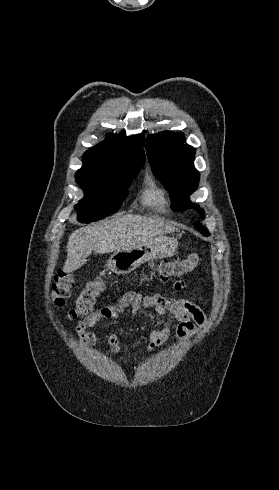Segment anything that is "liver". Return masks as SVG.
Segmentation results:
<instances>
[{
	"label": "liver",
	"mask_w": 279,
	"mask_h": 490,
	"mask_svg": "<svg viewBox=\"0 0 279 490\" xmlns=\"http://www.w3.org/2000/svg\"><path fill=\"white\" fill-rule=\"evenodd\" d=\"M170 232L177 230L169 222L132 214L113 216L112 220H103L98 224L79 228L69 236L63 272L70 274L81 268L93 250L96 254L118 252Z\"/></svg>",
	"instance_id": "obj_1"
}]
</instances>
